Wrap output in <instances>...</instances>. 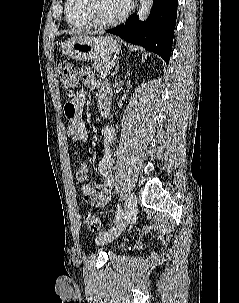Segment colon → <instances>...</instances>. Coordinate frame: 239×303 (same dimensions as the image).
I'll return each instance as SVG.
<instances>
[{
  "label": "colon",
  "instance_id": "5ec220e1",
  "mask_svg": "<svg viewBox=\"0 0 239 303\" xmlns=\"http://www.w3.org/2000/svg\"><path fill=\"white\" fill-rule=\"evenodd\" d=\"M59 75L62 86L72 92L79 83L78 70L70 63H62L59 66ZM84 225L91 231L97 232L100 230V221L93 214H83Z\"/></svg>",
  "mask_w": 239,
  "mask_h": 303
}]
</instances>
